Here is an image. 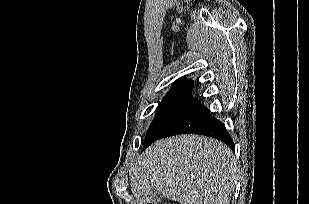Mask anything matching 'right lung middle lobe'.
I'll list each match as a JSON object with an SVG mask.
<instances>
[{"label": "right lung middle lobe", "mask_w": 309, "mask_h": 204, "mask_svg": "<svg viewBox=\"0 0 309 204\" xmlns=\"http://www.w3.org/2000/svg\"><path fill=\"white\" fill-rule=\"evenodd\" d=\"M159 107L144 140L143 148H146L170 126L197 106L195 104L161 103Z\"/></svg>", "instance_id": "1"}]
</instances>
